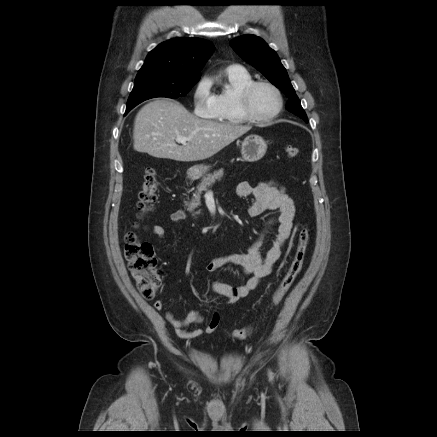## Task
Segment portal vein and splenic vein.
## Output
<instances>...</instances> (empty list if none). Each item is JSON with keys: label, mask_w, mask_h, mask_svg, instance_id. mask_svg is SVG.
<instances>
[{"label": "portal vein and splenic vein", "mask_w": 437, "mask_h": 437, "mask_svg": "<svg viewBox=\"0 0 437 437\" xmlns=\"http://www.w3.org/2000/svg\"><path fill=\"white\" fill-rule=\"evenodd\" d=\"M187 140H188V139H187L186 137H183V136H177V138H176V141H177L178 143L183 144V145L186 144V141H187Z\"/></svg>", "instance_id": "18ae733b"}]
</instances>
